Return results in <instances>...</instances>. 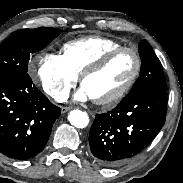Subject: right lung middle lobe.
<instances>
[{
  "instance_id": "dd1d6c3e",
  "label": "right lung middle lobe",
  "mask_w": 183,
  "mask_h": 183,
  "mask_svg": "<svg viewBox=\"0 0 183 183\" xmlns=\"http://www.w3.org/2000/svg\"><path fill=\"white\" fill-rule=\"evenodd\" d=\"M61 30L41 27L23 29L0 45V76L27 73L30 55L45 48Z\"/></svg>"
}]
</instances>
